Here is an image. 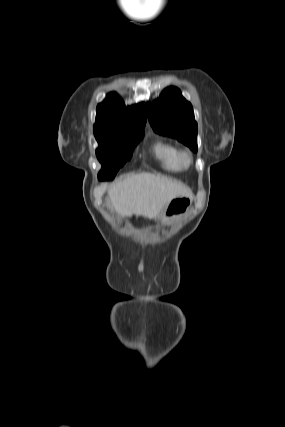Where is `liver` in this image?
<instances>
[{
	"label": "liver",
	"instance_id": "1",
	"mask_svg": "<svg viewBox=\"0 0 285 427\" xmlns=\"http://www.w3.org/2000/svg\"><path fill=\"white\" fill-rule=\"evenodd\" d=\"M111 208L123 217L132 215L153 219L177 197L192 198L184 184L151 173L125 178L108 190Z\"/></svg>",
	"mask_w": 285,
	"mask_h": 427
}]
</instances>
